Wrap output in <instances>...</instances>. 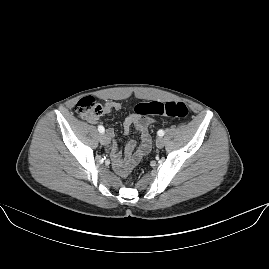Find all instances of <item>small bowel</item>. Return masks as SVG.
<instances>
[{
	"instance_id": "obj_1",
	"label": "small bowel",
	"mask_w": 269,
	"mask_h": 269,
	"mask_svg": "<svg viewBox=\"0 0 269 269\" xmlns=\"http://www.w3.org/2000/svg\"><path fill=\"white\" fill-rule=\"evenodd\" d=\"M121 108V104L119 102H107L103 105V112L109 113L114 110H119ZM93 123L96 122V119L91 120ZM153 123L152 119H146L141 116L132 114L128 116L123 122V132L124 134H129L131 127L134 126L136 130L140 133L141 143L137 151L134 153L136 143L134 140H130L125 145L124 150V157H121V154L117 148L116 143L113 141L111 145V159L113 167L116 169L117 172L120 174H124L127 172L128 168L139 161L141 158L146 156L143 152L142 147V140L143 138V131L149 127L150 124ZM107 134L113 138L114 137V130L112 128L107 129Z\"/></svg>"
}]
</instances>
